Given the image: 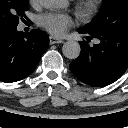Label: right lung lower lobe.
<instances>
[{"label": "right lung lower lobe", "instance_id": "obj_1", "mask_svg": "<svg viewBox=\"0 0 128 128\" xmlns=\"http://www.w3.org/2000/svg\"><path fill=\"white\" fill-rule=\"evenodd\" d=\"M48 46L45 32L32 30L24 36L16 28L0 29V80L11 83L29 76Z\"/></svg>", "mask_w": 128, "mask_h": 128}]
</instances>
